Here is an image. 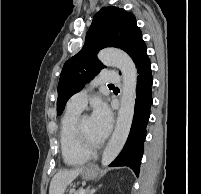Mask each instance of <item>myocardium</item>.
<instances>
[{
  "label": "myocardium",
  "instance_id": "1",
  "mask_svg": "<svg viewBox=\"0 0 201 194\" xmlns=\"http://www.w3.org/2000/svg\"><path fill=\"white\" fill-rule=\"evenodd\" d=\"M85 117L86 116H80L76 122V126H75L76 137H77V141L81 150L87 153L88 155H92L101 147L102 143L99 142L96 144H91L87 141L82 129V120Z\"/></svg>",
  "mask_w": 201,
  "mask_h": 194
}]
</instances>
